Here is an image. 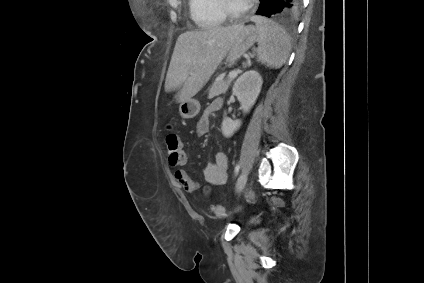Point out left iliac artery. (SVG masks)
<instances>
[{
    "mask_svg": "<svg viewBox=\"0 0 424 283\" xmlns=\"http://www.w3.org/2000/svg\"><path fill=\"white\" fill-rule=\"evenodd\" d=\"M239 170H240V164L237 163L236 166H235V170H234L235 174H238Z\"/></svg>",
    "mask_w": 424,
    "mask_h": 283,
    "instance_id": "44dca946",
    "label": "left iliac artery"
}]
</instances>
